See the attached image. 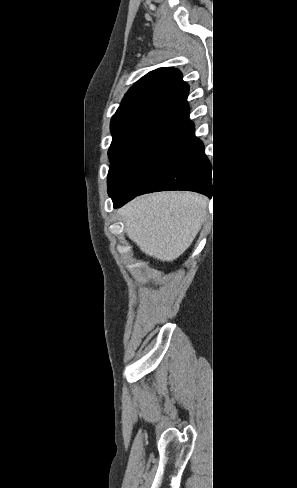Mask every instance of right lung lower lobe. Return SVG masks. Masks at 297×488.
Returning a JSON list of instances; mask_svg holds the SVG:
<instances>
[{
    "instance_id": "obj_1",
    "label": "right lung lower lobe",
    "mask_w": 297,
    "mask_h": 488,
    "mask_svg": "<svg viewBox=\"0 0 297 488\" xmlns=\"http://www.w3.org/2000/svg\"><path fill=\"white\" fill-rule=\"evenodd\" d=\"M209 161L191 124L175 133L152 158L126 194L113 198L114 208L145 193L188 190L212 195Z\"/></svg>"
}]
</instances>
